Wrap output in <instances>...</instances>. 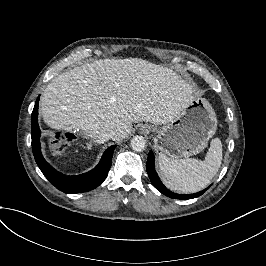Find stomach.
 <instances>
[{"label":"stomach","mask_w":266,"mask_h":266,"mask_svg":"<svg viewBox=\"0 0 266 266\" xmlns=\"http://www.w3.org/2000/svg\"><path fill=\"white\" fill-rule=\"evenodd\" d=\"M216 113L205 98L193 99L190 105L171 122L161 127L145 124L157 132L155 146L172 159L190 157L202 152L217 130Z\"/></svg>","instance_id":"obj_1"}]
</instances>
